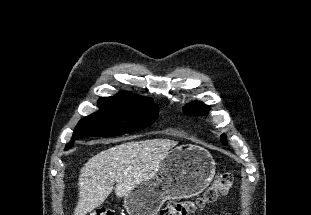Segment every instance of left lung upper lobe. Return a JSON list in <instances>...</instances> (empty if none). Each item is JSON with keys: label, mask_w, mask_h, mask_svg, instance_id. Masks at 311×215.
Returning a JSON list of instances; mask_svg holds the SVG:
<instances>
[{"label": "left lung upper lobe", "mask_w": 311, "mask_h": 215, "mask_svg": "<svg viewBox=\"0 0 311 215\" xmlns=\"http://www.w3.org/2000/svg\"><path fill=\"white\" fill-rule=\"evenodd\" d=\"M184 111L189 115L207 114L208 113V106L203 104V103H200V102H193V103L188 104L185 107ZM221 141L224 144L226 143V139H225L224 135L221 137Z\"/></svg>", "instance_id": "obj_1"}]
</instances>
